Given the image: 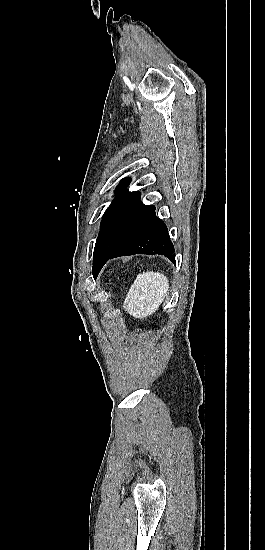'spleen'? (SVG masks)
Here are the masks:
<instances>
[{
	"label": "spleen",
	"mask_w": 265,
	"mask_h": 550,
	"mask_svg": "<svg viewBox=\"0 0 265 550\" xmlns=\"http://www.w3.org/2000/svg\"><path fill=\"white\" fill-rule=\"evenodd\" d=\"M169 281L159 272L147 271L137 275L125 298L123 308L135 318L155 313L168 295Z\"/></svg>",
	"instance_id": "obj_1"
}]
</instances>
